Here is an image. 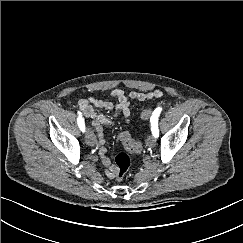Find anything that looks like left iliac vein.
I'll list each match as a JSON object with an SVG mask.
<instances>
[{
  "instance_id": "left-iliac-vein-1",
  "label": "left iliac vein",
  "mask_w": 243,
  "mask_h": 243,
  "mask_svg": "<svg viewBox=\"0 0 243 243\" xmlns=\"http://www.w3.org/2000/svg\"><path fill=\"white\" fill-rule=\"evenodd\" d=\"M146 143L150 147H154L156 145V138L153 135H149L147 137Z\"/></svg>"
}]
</instances>
